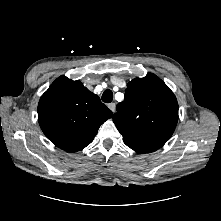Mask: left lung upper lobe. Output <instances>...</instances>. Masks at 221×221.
Instances as JSON below:
<instances>
[{
	"label": "left lung upper lobe",
	"mask_w": 221,
	"mask_h": 221,
	"mask_svg": "<svg viewBox=\"0 0 221 221\" xmlns=\"http://www.w3.org/2000/svg\"><path fill=\"white\" fill-rule=\"evenodd\" d=\"M113 121L124 143L137 153L161 148L178 121V103L170 88L156 75L128 82L125 99L116 107Z\"/></svg>",
	"instance_id": "1"
}]
</instances>
